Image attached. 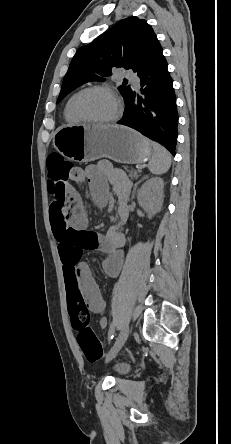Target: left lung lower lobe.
Returning a JSON list of instances; mask_svg holds the SVG:
<instances>
[{
    "mask_svg": "<svg viewBox=\"0 0 231 444\" xmlns=\"http://www.w3.org/2000/svg\"><path fill=\"white\" fill-rule=\"evenodd\" d=\"M167 66L160 48L137 72L142 96L131 90L125 98L124 116L118 124L141 132L175 155L178 113L173 80Z\"/></svg>",
    "mask_w": 231,
    "mask_h": 444,
    "instance_id": "obj_1",
    "label": "left lung lower lobe"
}]
</instances>
